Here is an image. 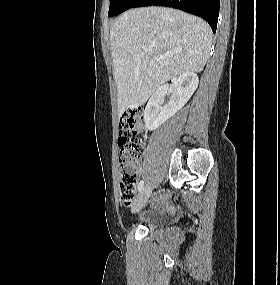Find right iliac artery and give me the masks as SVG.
Listing matches in <instances>:
<instances>
[{"mask_svg": "<svg viewBox=\"0 0 280 285\" xmlns=\"http://www.w3.org/2000/svg\"><path fill=\"white\" fill-rule=\"evenodd\" d=\"M144 186V181H140L139 185H138V191L140 192L143 189Z\"/></svg>", "mask_w": 280, "mask_h": 285, "instance_id": "1", "label": "right iliac artery"}]
</instances>
